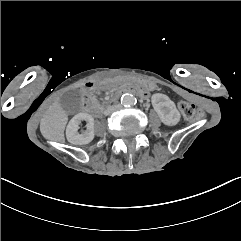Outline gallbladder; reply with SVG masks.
<instances>
[{
  "label": "gallbladder",
  "instance_id": "1",
  "mask_svg": "<svg viewBox=\"0 0 241 241\" xmlns=\"http://www.w3.org/2000/svg\"><path fill=\"white\" fill-rule=\"evenodd\" d=\"M81 96L77 90L66 92L60 99V107L66 116H73L81 111Z\"/></svg>",
  "mask_w": 241,
  "mask_h": 241
}]
</instances>
